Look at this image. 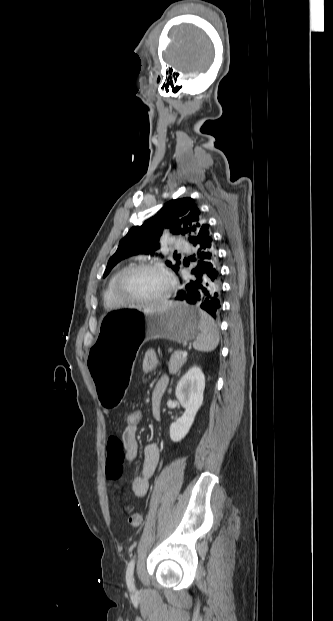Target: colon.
Returning a JSON list of instances; mask_svg holds the SVG:
<instances>
[{
    "mask_svg": "<svg viewBox=\"0 0 333 621\" xmlns=\"http://www.w3.org/2000/svg\"><path fill=\"white\" fill-rule=\"evenodd\" d=\"M141 419H142V412L139 409L131 408L127 411V414H126L127 424L134 425V426L138 425L141 422ZM125 510L129 514L128 520L132 526L136 527L142 524L141 514L132 511L131 508L129 507H126Z\"/></svg>",
    "mask_w": 333,
    "mask_h": 621,
    "instance_id": "5ec220e1",
    "label": "colon"
}]
</instances>
